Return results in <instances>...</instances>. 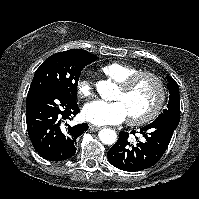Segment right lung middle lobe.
I'll use <instances>...</instances> for the list:
<instances>
[{"instance_id": "right-lung-middle-lobe-1", "label": "right lung middle lobe", "mask_w": 199, "mask_h": 199, "mask_svg": "<svg viewBox=\"0 0 199 199\" xmlns=\"http://www.w3.org/2000/svg\"><path fill=\"white\" fill-rule=\"evenodd\" d=\"M97 59L89 52L77 54L63 51L53 54L36 70L30 88L49 85L76 101L80 72Z\"/></svg>"}]
</instances>
